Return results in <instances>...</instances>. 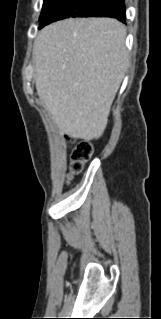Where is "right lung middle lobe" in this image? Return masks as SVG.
Segmentation results:
<instances>
[{
  "mask_svg": "<svg viewBox=\"0 0 161 319\" xmlns=\"http://www.w3.org/2000/svg\"><path fill=\"white\" fill-rule=\"evenodd\" d=\"M98 0H44L42 12L39 20L40 27L51 22L69 18L81 17L83 13L89 11Z\"/></svg>",
  "mask_w": 161,
  "mask_h": 319,
  "instance_id": "right-lung-middle-lobe-1",
  "label": "right lung middle lobe"
}]
</instances>
